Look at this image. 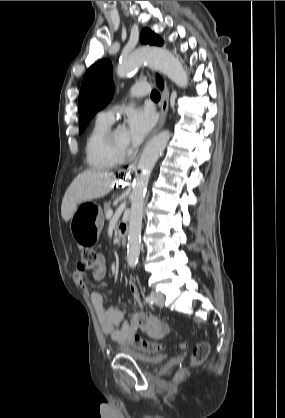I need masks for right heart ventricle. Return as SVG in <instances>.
Masks as SVG:
<instances>
[{
	"mask_svg": "<svg viewBox=\"0 0 285 418\" xmlns=\"http://www.w3.org/2000/svg\"><path fill=\"white\" fill-rule=\"evenodd\" d=\"M110 124V121L97 116L86 134L84 151L87 164L92 170L110 169L122 161L121 158L112 155L102 141Z\"/></svg>",
	"mask_w": 285,
	"mask_h": 418,
	"instance_id": "e07e8e85",
	"label": "right heart ventricle"
}]
</instances>
